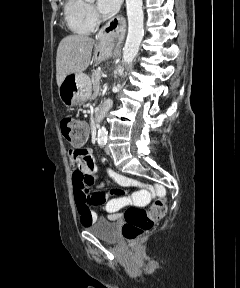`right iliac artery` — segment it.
Listing matches in <instances>:
<instances>
[{"instance_id": "1", "label": "right iliac artery", "mask_w": 240, "mask_h": 288, "mask_svg": "<svg viewBox=\"0 0 240 288\" xmlns=\"http://www.w3.org/2000/svg\"><path fill=\"white\" fill-rule=\"evenodd\" d=\"M105 144H106V141H100L99 142V145H100L101 148H103Z\"/></svg>"}]
</instances>
